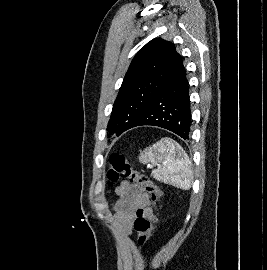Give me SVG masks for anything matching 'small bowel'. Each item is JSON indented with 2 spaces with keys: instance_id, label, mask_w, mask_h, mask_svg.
I'll return each instance as SVG.
<instances>
[{
  "instance_id": "c3829d8e",
  "label": "small bowel",
  "mask_w": 267,
  "mask_h": 270,
  "mask_svg": "<svg viewBox=\"0 0 267 270\" xmlns=\"http://www.w3.org/2000/svg\"><path fill=\"white\" fill-rule=\"evenodd\" d=\"M118 200L114 205L115 222L121 234L130 237L139 213L154 219L148 194L139 186L123 181L116 189Z\"/></svg>"
}]
</instances>
